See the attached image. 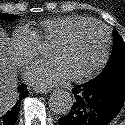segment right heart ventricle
<instances>
[{"instance_id":"obj_1","label":"right heart ventricle","mask_w":125,"mask_h":125,"mask_svg":"<svg viewBox=\"0 0 125 125\" xmlns=\"http://www.w3.org/2000/svg\"><path fill=\"white\" fill-rule=\"evenodd\" d=\"M83 16H63L45 19L39 22L38 28L33 30L42 43H52L57 37L64 33L70 26L85 21Z\"/></svg>"}]
</instances>
